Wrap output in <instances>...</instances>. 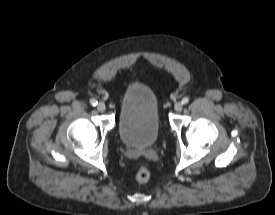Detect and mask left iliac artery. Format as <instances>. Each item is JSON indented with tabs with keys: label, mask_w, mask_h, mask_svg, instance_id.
<instances>
[{
	"label": "left iliac artery",
	"mask_w": 275,
	"mask_h": 215,
	"mask_svg": "<svg viewBox=\"0 0 275 215\" xmlns=\"http://www.w3.org/2000/svg\"><path fill=\"white\" fill-rule=\"evenodd\" d=\"M189 102V98L188 97H184L183 99H182V103L183 104H187Z\"/></svg>",
	"instance_id": "left-iliac-artery-1"
}]
</instances>
